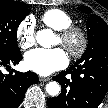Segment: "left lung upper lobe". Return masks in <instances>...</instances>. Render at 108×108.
<instances>
[{"label": "left lung upper lobe", "mask_w": 108, "mask_h": 108, "mask_svg": "<svg viewBox=\"0 0 108 108\" xmlns=\"http://www.w3.org/2000/svg\"><path fill=\"white\" fill-rule=\"evenodd\" d=\"M79 10L90 14L89 7H80ZM88 46L82 57L74 65L105 63L108 64V25L97 15H92L87 22ZM76 90H69L66 100L76 98Z\"/></svg>", "instance_id": "5c2ea615"}]
</instances>
